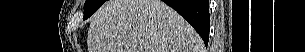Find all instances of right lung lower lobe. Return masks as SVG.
Wrapping results in <instances>:
<instances>
[{
    "instance_id": "obj_1",
    "label": "right lung lower lobe",
    "mask_w": 305,
    "mask_h": 52,
    "mask_svg": "<svg viewBox=\"0 0 305 52\" xmlns=\"http://www.w3.org/2000/svg\"><path fill=\"white\" fill-rule=\"evenodd\" d=\"M175 9L198 32L208 45L210 15L209 0H162Z\"/></svg>"
}]
</instances>
